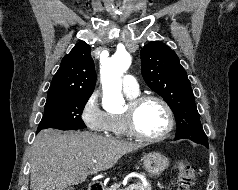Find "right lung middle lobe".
Instances as JSON below:
<instances>
[{
  "instance_id": "dd1d6c3e",
  "label": "right lung middle lobe",
  "mask_w": 238,
  "mask_h": 190,
  "mask_svg": "<svg viewBox=\"0 0 238 190\" xmlns=\"http://www.w3.org/2000/svg\"><path fill=\"white\" fill-rule=\"evenodd\" d=\"M89 95H70L47 99L37 132L46 128L76 130L86 128L81 119Z\"/></svg>"
}]
</instances>
